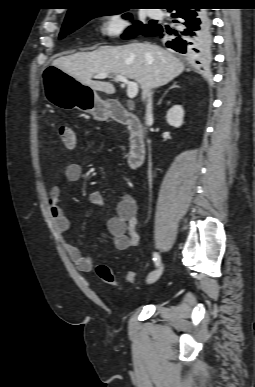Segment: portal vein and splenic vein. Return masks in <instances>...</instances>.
<instances>
[{"instance_id":"1","label":"portal vein and splenic vein","mask_w":255,"mask_h":387,"mask_svg":"<svg viewBox=\"0 0 255 387\" xmlns=\"http://www.w3.org/2000/svg\"><path fill=\"white\" fill-rule=\"evenodd\" d=\"M108 75L109 74H107V73H99V74L95 75V78L104 79V78L108 77ZM115 79L117 81H120V82L127 84V96H128V98L133 99L137 96L139 86L136 82L129 81L127 79V77L122 76V75H116Z\"/></svg>"}]
</instances>
